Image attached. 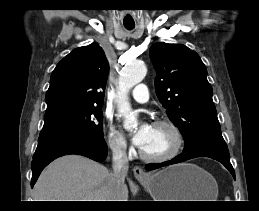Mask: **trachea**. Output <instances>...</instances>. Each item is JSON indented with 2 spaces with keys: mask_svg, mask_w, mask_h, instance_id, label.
Instances as JSON below:
<instances>
[{
  "mask_svg": "<svg viewBox=\"0 0 259 211\" xmlns=\"http://www.w3.org/2000/svg\"><path fill=\"white\" fill-rule=\"evenodd\" d=\"M126 28H127L128 30H132V29L134 28V26H126Z\"/></svg>",
  "mask_w": 259,
  "mask_h": 211,
  "instance_id": "1",
  "label": "trachea"
}]
</instances>
